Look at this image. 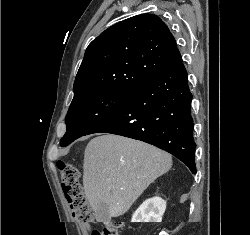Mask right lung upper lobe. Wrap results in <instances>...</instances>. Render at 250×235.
Wrapping results in <instances>:
<instances>
[{"label": "right lung upper lobe", "instance_id": "1", "mask_svg": "<svg viewBox=\"0 0 250 235\" xmlns=\"http://www.w3.org/2000/svg\"><path fill=\"white\" fill-rule=\"evenodd\" d=\"M176 41L154 14H141L102 32L87 47L74 99L94 91L134 92L171 62Z\"/></svg>", "mask_w": 250, "mask_h": 235}]
</instances>
